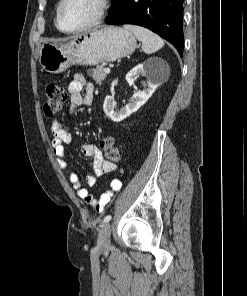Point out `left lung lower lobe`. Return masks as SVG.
<instances>
[{"label":"left lung lower lobe","mask_w":247,"mask_h":296,"mask_svg":"<svg viewBox=\"0 0 247 296\" xmlns=\"http://www.w3.org/2000/svg\"><path fill=\"white\" fill-rule=\"evenodd\" d=\"M184 0H113L107 24H135L146 27L173 44L183 55Z\"/></svg>","instance_id":"0a47b994"}]
</instances>
